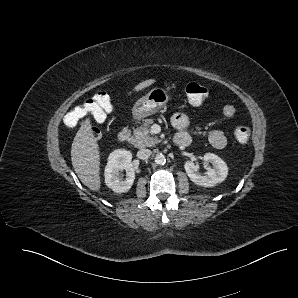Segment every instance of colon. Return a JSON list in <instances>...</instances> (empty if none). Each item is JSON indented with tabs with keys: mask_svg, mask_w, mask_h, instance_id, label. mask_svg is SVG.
Masks as SVG:
<instances>
[{
	"mask_svg": "<svg viewBox=\"0 0 298 298\" xmlns=\"http://www.w3.org/2000/svg\"><path fill=\"white\" fill-rule=\"evenodd\" d=\"M185 91L188 101L193 105H202L210 97L209 90L197 83H189ZM111 110L109 95L106 92H99L73 107L66 114L65 122L69 126H75L87 117H91L97 122H103ZM233 135L238 142L246 144L251 136L250 127L246 124H239L233 129Z\"/></svg>",
	"mask_w": 298,
	"mask_h": 298,
	"instance_id": "5ec220e1",
	"label": "colon"
}]
</instances>
